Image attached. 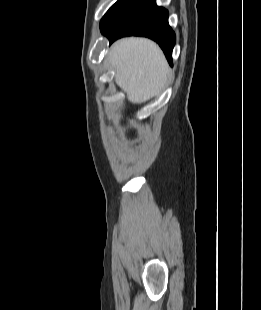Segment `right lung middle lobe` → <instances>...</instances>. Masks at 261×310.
I'll return each instance as SVG.
<instances>
[{
  "instance_id": "obj_1",
  "label": "right lung middle lobe",
  "mask_w": 261,
  "mask_h": 310,
  "mask_svg": "<svg viewBox=\"0 0 261 310\" xmlns=\"http://www.w3.org/2000/svg\"><path fill=\"white\" fill-rule=\"evenodd\" d=\"M131 1L132 0H118L102 18L100 23L101 28L107 25Z\"/></svg>"
}]
</instances>
